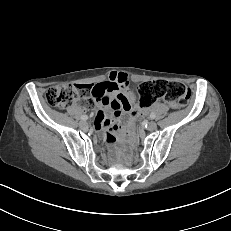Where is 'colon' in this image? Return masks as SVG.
Listing matches in <instances>:
<instances>
[{
	"label": "colon",
	"instance_id": "obj_1",
	"mask_svg": "<svg viewBox=\"0 0 231 231\" xmlns=\"http://www.w3.org/2000/svg\"><path fill=\"white\" fill-rule=\"evenodd\" d=\"M92 89L90 85L63 84L47 90L46 102L56 108H65L79 102L87 106L92 105ZM139 106L147 108L160 99H165L173 108L187 105L191 93L181 83L167 80H152L143 82L138 86ZM136 113L132 112L127 124H119L118 129L125 131L128 143L132 148H137L138 143L133 134L136 122Z\"/></svg>",
	"mask_w": 231,
	"mask_h": 231
}]
</instances>
